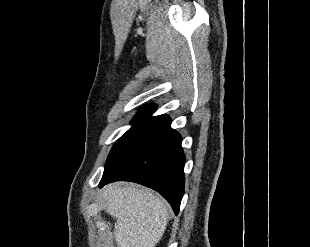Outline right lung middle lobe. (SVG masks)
<instances>
[{
    "label": "right lung middle lobe",
    "mask_w": 310,
    "mask_h": 247,
    "mask_svg": "<svg viewBox=\"0 0 310 247\" xmlns=\"http://www.w3.org/2000/svg\"><path fill=\"white\" fill-rule=\"evenodd\" d=\"M154 111L140 110L139 113L132 120V127L118 139L116 144L113 146L106 165L117 155V153L127 144V142L153 117L151 116Z\"/></svg>",
    "instance_id": "1"
}]
</instances>
